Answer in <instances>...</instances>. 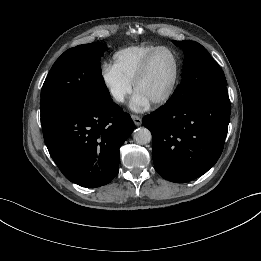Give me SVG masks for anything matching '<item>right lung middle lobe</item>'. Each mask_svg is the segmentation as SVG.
Segmentation results:
<instances>
[{"label":"right lung middle lobe","instance_id":"1","mask_svg":"<svg viewBox=\"0 0 261 261\" xmlns=\"http://www.w3.org/2000/svg\"><path fill=\"white\" fill-rule=\"evenodd\" d=\"M106 47L98 42L78 45L56 60L41 90L42 127L69 112L111 102L100 66Z\"/></svg>","mask_w":261,"mask_h":261}]
</instances>
